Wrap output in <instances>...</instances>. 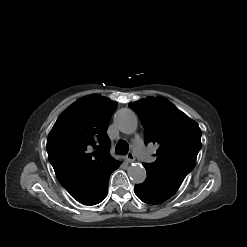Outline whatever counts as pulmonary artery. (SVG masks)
<instances>
[{"mask_svg":"<svg viewBox=\"0 0 247 247\" xmlns=\"http://www.w3.org/2000/svg\"><path fill=\"white\" fill-rule=\"evenodd\" d=\"M135 151L138 155H140L144 159L149 158V152L148 150L143 146L141 142H137L135 145Z\"/></svg>","mask_w":247,"mask_h":247,"instance_id":"obj_1","label":"pulmonary artery"}]
</instances>
